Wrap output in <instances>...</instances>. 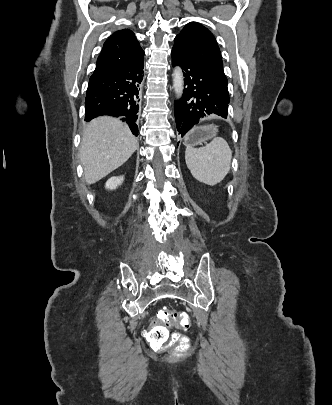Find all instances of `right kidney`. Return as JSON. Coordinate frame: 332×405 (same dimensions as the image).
I'll return each instance as SVG.
<instances>
[{
  "label": "right kidney",
  "instance_id": "1",
  "mask_svg": "<svg viewBox=\"0 0 332 405\" xmlns=\"http://www.w3.org/2000/svg\"><path fill=\"white\" fill-rule=\"evenodd\" d=\"M123 182V176L111 177L105 184L106 189L114 190Z\"/></svg>",
  "mask_w": 332,
  "mask_h": 405
}]
</instances>
